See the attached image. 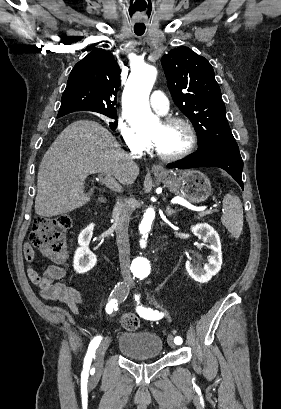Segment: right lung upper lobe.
<instances>
[{
	"mask_svg": "<svg viewBox=\"0 0 281 409\" xmlns=\"http://www.w3.org/2000/svg\"><path fill=\"white\" fill-rule=\"evenodd\" d=\"M120 69L113 55L95 49L72 69L58 117L75 111L116 112Z\"/></svg>",
	"mask_w": 281,
	"mask_h": 409,
	"instance_id": "1",
	"label": "right lung upper lobe"
}]
</instances>
